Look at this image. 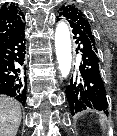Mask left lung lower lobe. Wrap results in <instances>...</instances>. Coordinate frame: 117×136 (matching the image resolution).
Segmentation results:
<instances>
[{"mask_svg": "<svg viewBox=\"0 0 117 136\" xmlns=\"http://www.w3.org/2000/svg\"><path fill=\"white\" fill-rule=\"evenodd\" d=\"M63 16L59 13L57 20ZM77 53L81 55L79 68L73 70L66 96L72 115L87 108L104 111L108 114L106 91L100 71L98 53L93 47L89 37L77 29L72 30Z\"/></svg>", "mask_w": 117, "mask_h": 136, "instance_id": "1", "label": "left lung lower lobe"}]
</instances>
